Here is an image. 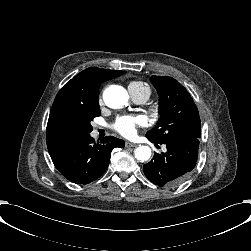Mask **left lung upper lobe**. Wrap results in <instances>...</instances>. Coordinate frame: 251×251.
Listing matches in <instances>:
<instances>
[{"instance_id": "obj_1", "label": "left lung upper lobe", "mask_w": 251, "mask_h": 251, "mask_svg": "<svg viewBox=\"0 0 251 251\" xmlns=\"http://www.w3.org/2000/svg\"><path fill=\"white\" fill-rule=\"evenodd\" d=\"M150 81L159 95L160 120L146 136L158 143L199 139V112L184 86L168 76H152Z\"/></svg>"}]
</instances>
